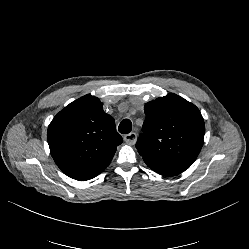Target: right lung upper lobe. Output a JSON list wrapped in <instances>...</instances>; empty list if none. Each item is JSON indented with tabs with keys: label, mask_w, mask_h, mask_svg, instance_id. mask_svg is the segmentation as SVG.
<instances>
[{
	"label": "right lung upper lobe",
	"mask_w": 249,
	"mask_h": 249,
	"mask_svg": "<svg viewBox=\"0 0 249 249\" xmlns=\"http://www.w3.org/2000/svg\"><path fill=\"white\" fill-rule=\"evenodd\" d=\"M47 138L58 167L67 176L82 181L104 171L122 143L114 119L91 95L61 110L48 127Z\"/></svg>",
	"instance_id": "right-lung-upper-lobe-1"
}]
</instances>
